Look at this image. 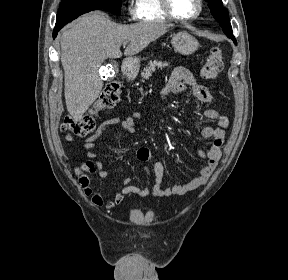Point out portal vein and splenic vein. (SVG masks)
Wrapping results in <instances>:
<instances>
[{"mask_svg":"<svg viewBox=\"0 0 288 280\" xmlns=\"http://www.w3.org/2000/svg\"><path fill=\"white\" fill-rule=\"evenodd\" d=\"M127 44H128V42H126V41H125V42H123V45H127Z\"/></svg>","mask_w":288,"mask_h":280,"instance_id":"1","label":"portal vein and splenic vein"}]
</instances>
